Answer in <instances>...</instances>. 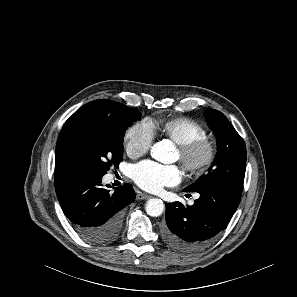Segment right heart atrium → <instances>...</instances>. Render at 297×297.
<instances>
[{"mask_svg": "<svg viewBox=\"0 0 297 297\" xmlns=\"http://www.w3.org/2000/svg\"><path fill=\"white\" fill-rule=\"evenodd\" d=\"M154 132L148 121H139L132 125L125 133L124 146L131 157H140L146 154L153 143Z\"/></svg>", "mask_w": 297, "mask_h": 297, "instance_id": "1", "label": "right heart atrium"}]
</instances>
